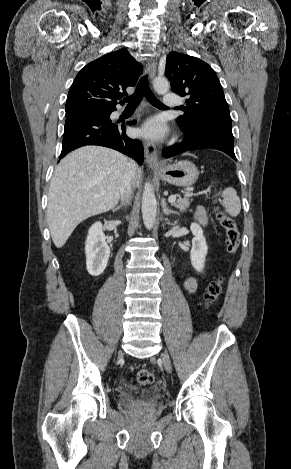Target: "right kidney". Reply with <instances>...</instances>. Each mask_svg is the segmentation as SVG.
I'll return each mask as SVG.
<instances>
[{"label":"right kidney","instance_id":"obj_1","mask_svg":"<svg viewBox=\"0 0 291 469\" xmlns=\"http://www.w3.org/2000/svg\"><path fill=\"white\" fill-rule=\"evenodd\" d=\"M85 254L88 273L95 277L101 275L110 257V248L106 243L101 222H96L90 227L85 243Z\"/></svg>","mask_w":291,"mask_h":469}]
</instances>
